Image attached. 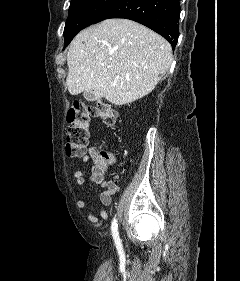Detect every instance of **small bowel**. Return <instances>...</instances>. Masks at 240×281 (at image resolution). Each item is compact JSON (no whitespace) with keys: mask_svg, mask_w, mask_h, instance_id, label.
Listing matches in <instances>:
<instances>
[{"mask_svg":"<svg viewBox=\"0 0 240 281\" xmlns=\"http://www.w3.org/2000/svg\"><path fill=\"white\" fill-rule=\"evenodd\" d=\"M83 161L85 163L89 162V157L88 156L84 157ZM114 163H115V158L112 155H110V159H109V162H108L106 168L112 166ZM86 176H87V173H86V171H83V170L76 171L73 174V178H74L76 184L79 186H82L86 183ZM88 181L91 184H97L104 189L102 191V193L100 194V202L104 206H109L112 202V195L117 190V182L115 180L106 179L105 171L98 170L96 166L89 173ZM77 207L79 209H85L86 203L83 200H80L77 202ZM99 215L103 219L107 218V213L102 209L99 210ZM88 219L92 223L98 222V217L92 213L88 214Z\"/></svg>","mask_w":240,"mask_h":281,"instance_id":"obj_1","label":"small bowel"}]
</instances>
